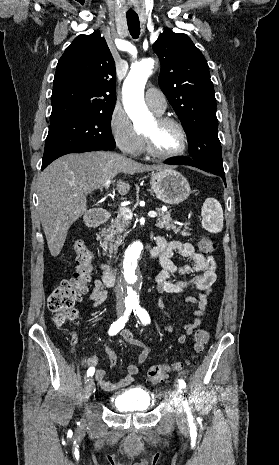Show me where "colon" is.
<instances>
[{"instance_id": "1", "label": "colon", "mask_w": 279, "mask_h": 465, "mask_svg": "<svg viewBox=\"0 0 279 465\" xmlns=\"http://www.w3.org/2000/svg\"><path fill=\"white\" fill-rule=\"evenodd\" d=\"M197 246L202 254H210L215 249V242L207 234H201L197 238ZM76 253V268L72 277L64 279L50 294L48 308L54 313V322L62 326L66 322L76 318L75 304L88 291L93 273V254L81 241L73 245ZM207 300V299H206ZM210 335L205 329H198L194 334V351L201 353L209 341ZM181 364L154 365L148 371V380L152 384L164 381L169 373L181 369Z\"/></svg>"}]
</instances>
